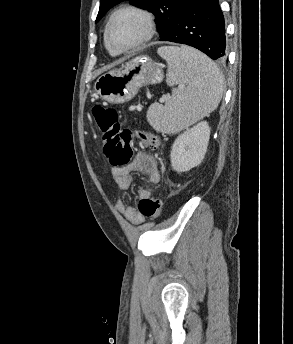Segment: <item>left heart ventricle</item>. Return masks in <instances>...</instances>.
<instances>
[{
	"instance_id": "1",
	"label": "left heart ventricle",
	"mask_w": 293,
	"mask_h": 344,
	"mask_svg": "<svg viewBox=\"0 0 293 344\" xmlns=\"http://www.w3.org/2000/svg\"><path fill=\"white\" fill-rule=\"evenodd\" d=\"M143 34L141 19L132 13L119 15L112 23L109 36L115 48H124L136 43Z\"/></svg>"
}]
</instances>
